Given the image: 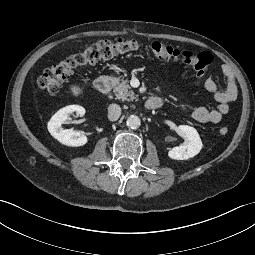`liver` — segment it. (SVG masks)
Masks as SVG:
<instances>
[{"label": "liver", "instance_id": "liver-1", "mask_svg": "<svg viewBox=\"0 0 255 255\" xmlns=\"http://www.w3.org/2000/svg\"><path fill=\"white\" fill-rule=\"evenodd\" d=\"M70 90L73 96H79L82 93V89L77 85H71Z\"/></svg>", "mask_w": 255, "mask_h": 255}]
</instances>
